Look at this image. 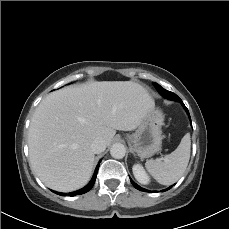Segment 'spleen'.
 Returning <instances> with one entry per match:
<instances>
[{
	"label": "spleen",
	"mask_w": 229,
	"mask_h": 229,
	"mask_svg": "<svg viewBox=\"0 0 229 229\" xmlns=\"http://www.w3.org/2000/svg\"><path fill=\"white\" fill-rule=\"evenodd\" d=\"M190 134L187 133L179 146L164 159L148 160L145 167L150 175L160 184L171 185L178 181L185 172L190 158Z\"/></svg>",
	"instance_id": "obj_1"
}]
</instances>
